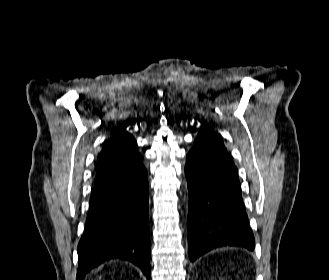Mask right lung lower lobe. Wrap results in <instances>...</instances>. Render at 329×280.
I'll return each mask as SVG.
<instances>
[{"instance_id": "1", "label": "right lung lower lobe", "mask_w": 329, "mask_h": 280, "mask_svg": "<svg viewBox=\"0 0 329 280\" xmlns=\"http://www.w3.org/2000/svg\"><path fill=\"white\" fill-rule=\"evenodd\" d=\"M147 171L136 167L97 173L85 232L77 252L76 280L111 259L127 260L150 278Z\"/></svg>"}]
</instances>
